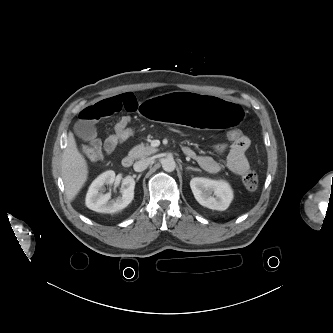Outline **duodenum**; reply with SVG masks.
I'll return each mask as SVG.
<instances>
[{"label": "duodenum", "mask_w": 333, "mask_h": 333, "mask_svg": "<svg viewBox=\"0 0 333 333\" xmlns=\"http://www.w3.org/2000/svg\"><path fill=\"white\" fill-rule=\"evenodd\" d=\"M184 153L187 154V155L189 154V152L186 151L185 149H184ZM133 161H134L133 157L131 155H127L122 159L121 163H122L123 167L129 168L133 164Z\"/></svg>", "instance_id": "410a0bca"}]
</instances>
